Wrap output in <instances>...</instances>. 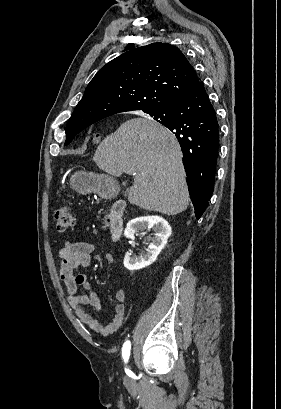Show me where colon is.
Segmentation results:
<instances>
[{"instance_id":"obj_1","label":"colon","mask_w":281,"mask_h":409,"mask_svg":"<svg viewBox=\"0 0 281 409\" xmlns=\"http://www.w3.org/2000/svg\"><path fill=\"white\" fill-rule=\"evenodd\" d=\"M54 219L58 231L64 232L74 225L75 215L70 208L59 207L54 213Z\"/></svg>"}]
</instances>
